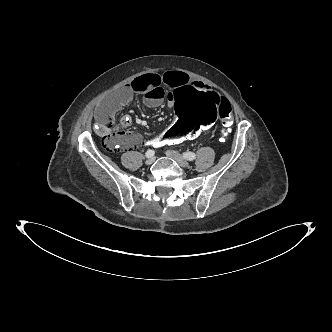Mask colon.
Returning a JSON list of instances; mask_svg holds the SVG:
<instances>
[{"label":"colon","instance_id":"1","mask_svg":"<svg viewBox=\"0 0 332 332\" xmlns=\"http://www.w3.org/2000/svg\"><path fill=\"white\" fill-rule=\"evenodd\" d=\"M168 119L172 129L161 137L158 135V140H151L154 147L166 143L177 144L180 137L198 138L211 129L217 120L222 126L219 132V140L222 141L233 123L228 101L219 97L211 87L198 82L185 83L173 91L168 101ZM114 121L115 112H112L105 117L103 127V145L111 152H117L123 145L120 134L113 128Z\"/></svg>","mask_w":332,"mask_h":332}]
</instances>
